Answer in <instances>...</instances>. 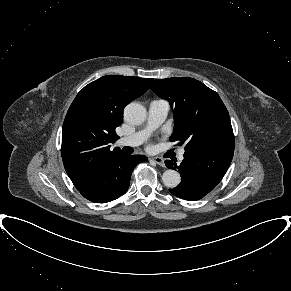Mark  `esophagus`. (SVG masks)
I'll list each match as a JSON object with an SVG mask.
<instances>
[{
    "label": "esophagus",
    "instance_id": "obj_1",
    "mask_svg": "<svg viewBox=\"0 0 291 291\" xmlns=\"http://www.w3.org/2000/svg\"><path fill=\"white\" fill-rule=\"evenodd\" d=\"M152 160L161 167H164V160L160 157H154Z\"/></svg>",
    "mask_w": 291,
    "mask_h": 291
}]
</instances>
